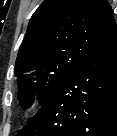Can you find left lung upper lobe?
<instances>
[{
    "mask_svg": "<svg viewBox=\"0 0 117 136\" xmlns=\"http://www.w3.org/2000/svg\"><path fill=\"white\" fill-rule=\"evenodd\" d=\"M114 27L106 0H44L16 59L19 104L45 102Z\"/></svg>",
    "mask_w": 117,
    "mask_h": 136,
    "instance_id": "left-lung-upper-lobe-1",
    "label": "left lung upper lobe"
}]
</instances>
